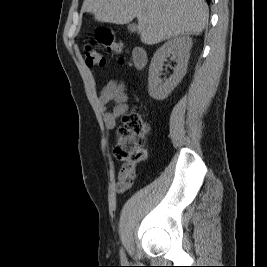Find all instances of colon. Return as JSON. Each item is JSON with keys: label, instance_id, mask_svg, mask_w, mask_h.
<instances>
[{"label": "colon", "instance_id": "obj_1", "mask_svg": "<svg viewBox=\"0 0 267 267\" xmlns=\"http://www.w3.org/2000/svg\"><path fill=\"white\" fill-rule=\"evenodd\" d=\"M122 49V43L115 39L110 30L99 29L95 37L84 46L86 64L89 67H103L106 64L104 51L121 53ZM148 131L149 126L137 108L124 114L122 127L118 132V141L114 148L115 157L129 168L134 169L145 158Z\"/></svg>", "mask_w": 267, "mask_h": 267}]
</instances>
